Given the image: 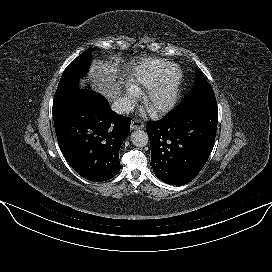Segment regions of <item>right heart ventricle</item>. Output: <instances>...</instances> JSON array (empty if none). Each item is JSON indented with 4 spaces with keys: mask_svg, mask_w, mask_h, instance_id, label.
<instances>
[{
    "mask_svg": "<svg viewBox=\"0 0 272 272\" xmlns=\"http://www.w3.org/2000/svg\"><path fill=\"white\" fill-rule=\"evenodd\" d=\"M170 65L164 59L148 58L139 62L130 72L126 86L129 90L140 93L150 87Z\"/></svg>",
    "mask_w": 272,
    "mask_h": 272,
    "instance_id": "right-heart-ventricle-1",
    "label": "right heart ventricle"
}]
</instances>
